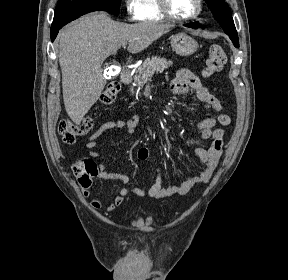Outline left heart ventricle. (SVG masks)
I'll list each match as a JSON object with an SVG mask.
<instances>
[{"label": "left heart ventricle", "instance_id": "left-heart-ventricle-1", "mask_svg": "<svg viewBox=\"0 0 288 280\" xmlns=\"http://www.w3.org/2000/svg\"><path fill=\"white\" fill-rule=\"evenodd\" d=\"M172 13L177 17H187L197 8V0H168Z\"/></svg>", "mask_w": 288, "mask_h": 280}]
</instances>
